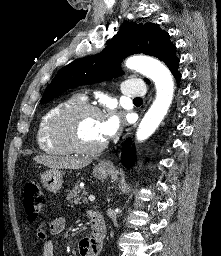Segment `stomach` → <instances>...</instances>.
Masks as SVG:
<instances>
[{
    "mask_svg": "<svg viewBox=\"0 0 221 256\" xmlns=\"http://www.w3.org/2000/svg\"><path fill=\"white\" fill-rule=\"evenodd\" d=\"M114 169L108 167H102L100 165L95 166L93 174L98 179H105L109 174H112ZM41 183L45 189L52 193L60 191L63 183V173L58 169H51L41 175Z\"/></svg>",
    "mask_w": 221,
    "mask_h": 256,
    "instance_id": "obj_1",
    "label": "stomach"
}]
</instances>
